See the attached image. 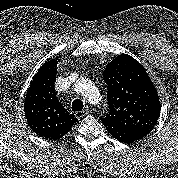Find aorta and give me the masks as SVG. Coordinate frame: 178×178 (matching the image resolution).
Here are the masks:
<instances>
[{
	"label": "aorta",
	"instance_id": "762f6f07",
	"mask_svg": "<svg viewBox=\"0 0 178 178\" xmlns=\"http://www.w3.org/2000/svg\"><path fill=\"white\" fill-rule=\"evenodd\" d=\"M75 89L82 93L84 96L88 97L92 101H97L100 94L98 90L93 85V83L87 79H80L75 83Z\"/></svg>",
	"mask_w": 178,
	"mask_h": 178
}]
</instances>
